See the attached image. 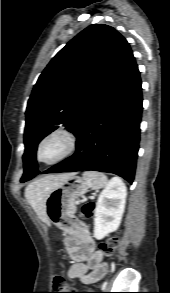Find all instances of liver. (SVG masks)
Masks as SVG:
<instances>
[{
	"mask_svg": "<svg viewBox=\"0 0 170 293\" xmlns=\"http://www.w3.org/2000/svg\"><path fill=\"white\" fill-rule=\"evenodd\" d=\"M70 174H52L41 177L30 183L25 189V197L36 212L37 216L46 224L49 220L46 214V200L51 190L66 179Z\"/></svg>",
	"mask_w": 170,
	"mask_h": 293,
	"instance_id": "6515ba94",
	"label": "liver"
}]
</instances>
